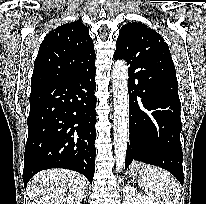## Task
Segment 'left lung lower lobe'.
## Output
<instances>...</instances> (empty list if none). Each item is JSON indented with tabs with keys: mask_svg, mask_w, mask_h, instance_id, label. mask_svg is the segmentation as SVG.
<instances>
[{
	"mask_svg": "<svg viewBox=\"0 0 206 204\" xmlns=\"http://www.w3.org/2000/svg\"><path fill=\"white\" fill-rule=\"evenodd\" d=\"M149 70L139 66L128 70L130 142L125 168L133 160L142 161L166 169L183 184L178 84L167 73L148 81Z\"/></svg>",
	"mask_w": 206,
	"mask_h": 204,
	"instance_id": "obj_1",
	"label": "left lung lower lobe"
}]
</instances>
